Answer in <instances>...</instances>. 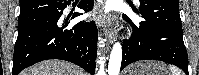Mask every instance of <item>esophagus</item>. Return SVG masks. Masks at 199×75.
I'll return each instance as SVG.
<instances>
[{
    "label": "esophagus",
    "instance_id": "34e87169",
    "mask_svg": "<svg viewBox=\"0 0 199 75\" xmlns=\"http://www.w3.org/2000/svg\"><path fill=\"white\" fill-rule=\"evenodd\" d=\"M104 34H105L106 38L108 39L109 43L112 44L115 40V33H114L113 27L106 25L104 28Z\"/></svg>",
    "mask_w": 199,
    "mask_h": 75
}]
</instances>
